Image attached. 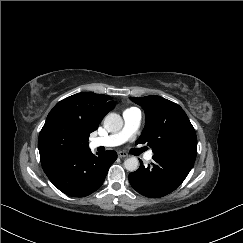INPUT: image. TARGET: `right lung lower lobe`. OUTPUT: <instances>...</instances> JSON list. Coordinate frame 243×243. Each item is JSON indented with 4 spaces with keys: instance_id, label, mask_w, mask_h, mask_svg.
Segmentation results:
<instances>
[{
    "instance_id": "obj_1",
    "label": "right lung lower lobe",
    "mask_w": 243,
    "mask_h": 243,
    "mask_svg": "<svg viewBox=\"0 0 243 243\" xmlns=\"http://www.w3.org/2000/svg\"><path fill=\"white\" fill-rule=\"evenodd\" d=\"M117 159V153L107 150L95 156L88 148L82 152L41 161L49 180L61 192L73 197H85L96 191Z\"/></svg>"
}]
</instances>
